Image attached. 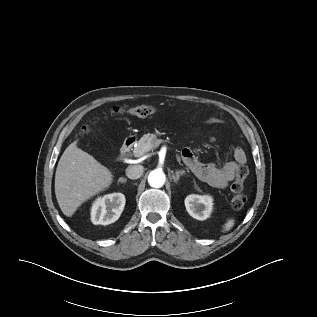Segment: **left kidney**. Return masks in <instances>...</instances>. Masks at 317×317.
I'll use <instances>...</instances> for the list:
<instances>
[{
    "label": "left kidney",
    "instance_id": "1",
    "mask_svg": "<svg viewBox=\"0 0 317 317\" xmlns=\"http://www.w3.org/2000/svg\"><path fill=\"white\" fill-rule=\"evenodd\" d=\"M213 199L211 196L189 195L185 198L187 212L197 220L207 219L212 211Z\"/></svg>",
    "mask_w": 317,
    "mask_h": 317
}]
</instances>
